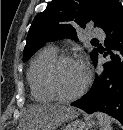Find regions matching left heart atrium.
<instances>
[{
  "mask_svg": "<svg viewBox=\"0 0 123 130\" xmlns=\"http://www.w3.org/2000/svg\"><path fill=\"white\" fill-rule=\"evenodd\" d=\"M77 63L80 65V67H81L82 69H84V66H83L82 63H80V62H77Z\"/></svg>",
  "mask_w": 123,
  "mask_h": 130,
  "instance_id": "left-heart-atrium-1",
  "label": "left heart atrium"
}]
</instances>
